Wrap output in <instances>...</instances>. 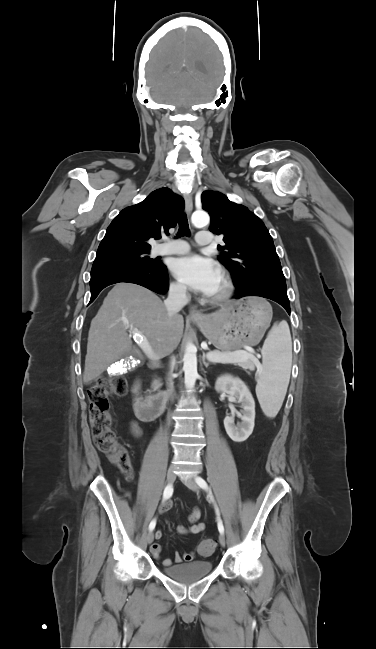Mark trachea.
<instances>
[{
    "mask_svg": "<svg viewBox=\"0 0 376 649\" xmlns=\"http://www.w3.org/2000/svg\"><path fill=\"white\" fill-rule=\"evenodd\" d=\"M190 235V229H189V224H188V219L186 214L181 215L179 219V229H178V237L180 236H189Z\"/></svg>",
    "mask_w": 376,
    "mask_h": 649,
    "instance_id": "1",
    "label": "trachea"
}]
</instances>
